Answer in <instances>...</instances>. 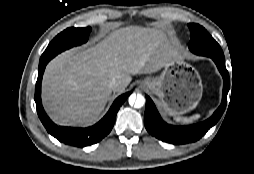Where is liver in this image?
Masks as SVG:
<instances>
[{"label":"liver","mask_w":254,"mask_h":174,"mask_svg":"<svg viewBox=\"0 0 254 174\" xmlns=\"http://www.w3.org/2000/svg\"><path fill=\"white\" fill-rule=\"evenodd\" d=\"M174 55L173 42L163 31L139 26L118 29L87 49L65 51L46 66L45 110L59 125L91 123L104 110L112 91L125 90L131 75L155 72ZM113 78L119 81L115 89L109 86Z\"/></svg>","instance_id":"6515ba94"}]
</instances>
